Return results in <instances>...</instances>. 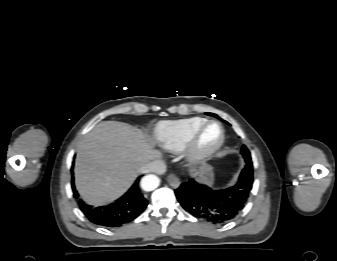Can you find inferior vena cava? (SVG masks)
I'll return each mask as SVG.
<instances>
[{
    "instance_id": "1",
    "label": "inferior vena cava",
    "mask_w": 337,
    "mask_h": 261,
    "mask_svg": "<svg viewBox=\"0 0 337 261\" xmlns=\"http://www.w3.org/2000/svg\"><path fill=\"white\" fill-rule=\"evenodd\" d=\"M166 166L162 161H152L143 165L140 169L141 173L159 172L164 173Z\"/></svg>"
}]
</instances>
